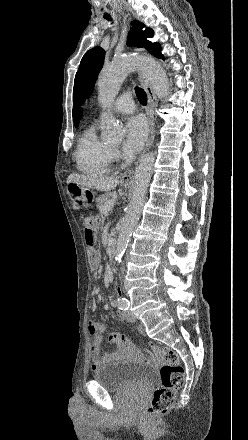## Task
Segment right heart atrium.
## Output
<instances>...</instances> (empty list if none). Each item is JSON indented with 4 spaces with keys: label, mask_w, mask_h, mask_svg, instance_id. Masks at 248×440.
<instances>
[{
    "label": "right heart atrium",
    "mask_w": 248,
    "mask_h": 440,
    "mask_svg": "<svg viewBox=\"0 0 248 440\" xmlns=\"http://www.w3.org/2000/svg\"><path fill=\"white\" fill-rule=\"evenodd\" d=\"M112 155L115 156V155H116V152H113Z\"/></svg>",
    "instance_id": "right-heart-atrium-1"
}]
</instances>
